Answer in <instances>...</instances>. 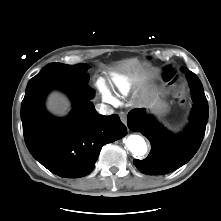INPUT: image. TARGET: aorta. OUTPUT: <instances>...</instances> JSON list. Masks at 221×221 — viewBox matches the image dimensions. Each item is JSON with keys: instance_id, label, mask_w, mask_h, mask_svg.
Here are the masks:
<instances>
[{"instance_id": "aorta-1", "label": "aorta", "mask_w": 221, "mask_h": 221, "mask_svg": "<svg viewBox=\"0 0 221 221\" xmlns=\"http://www.w3.org/2000/svg\"><path fill=\"white\" fill-rule=\"evenodd\" d=\"M126 146L135 156H142L146 154L148 149L144 138L140 135H130L127 138Z\"/></svg>"}]
</instances>
